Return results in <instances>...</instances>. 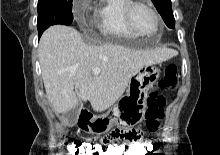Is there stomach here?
Segmentation results:
<instances>
[{
	"instance_id": "obj_1",
	"label": "stomach",
	"mask_w": 220,
	"mask_h": 155,
	"mask_svg": "<svg viewBox=\"0 0 220 155\" xmlns=\"http://www.w3.org/2000/svg\"><path fill=\"white\" fill-rule=\"evenodd\" d=\"M160 76L156 66L146 65L138 71L129 82L127 94L120 98L111 111L96 116L82 130L91 134H104L114 124L118 126H135L144 118L146 99Z\"/></svg>"
}]
</instances>
